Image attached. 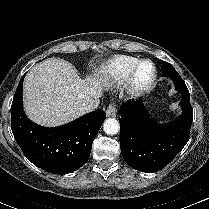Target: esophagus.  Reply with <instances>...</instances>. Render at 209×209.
Instances as JSON below:
<instances>
[{
	"label": "esophagus",
	"instance_id": "esophagus-1",
	"mask_svg": "<svg viewBox=\"0 0 209 209\" xmlns=\"http://www.w3.org/2000/svg\"><path fill=\"white\" fill-rule=\"evenodd\" d=\"M117 113L116 105L111 103L106 109V116L107 117H115Z\"/></svg>",
	"mask_w": 209,
	"mask_h": 209
}]
</instances>
